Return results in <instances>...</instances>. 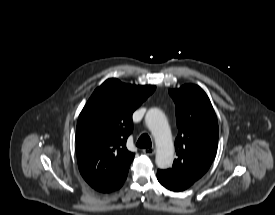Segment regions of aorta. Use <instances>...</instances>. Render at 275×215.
Segmentation results:
<instances>
[{
	"label": "aorta",
	"instance_id": "762f6f07",
	"mask_svg": "<svg viewBox=\"0 0 275 215\" xmlns=\"http://www.w3.org/2000/svg\"><path fill=\"white\" fill-rule=\"evenodd\" d=\"M145 122L155 139L157 167L170 168L174 159V144L165 114L158 108H151L146 113Z\"/></svg>",
	"mask_w": 275,
	"mask_h": 215
}]
</instances>
